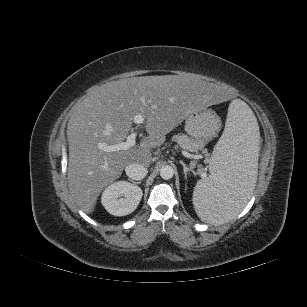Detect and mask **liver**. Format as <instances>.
Masks as SVG:
<instances>
[{
    "label": "liver",
    "instance_id": "1",
    "mask_svg": "<svg viewBox=\"0 0 307 307\" xmlns=\"http://www.w3.org/2000/svg\"><path fill=\"white\" fill-rule=\"evenodd\" d=\"M224 86L192 76H141L90 88L71 112L67 126L68 188L74 202L87 214L94 211L101 191L118 179L131 163L148 166L154 149L192 112L228 102ZM142 114L148 134L128 150L107 153L98 144L123 142Z\"/></svg>",
    "mask_w": 307,
    "mask_h": 307
}]
</instances>
